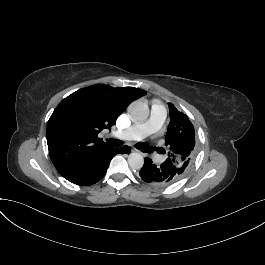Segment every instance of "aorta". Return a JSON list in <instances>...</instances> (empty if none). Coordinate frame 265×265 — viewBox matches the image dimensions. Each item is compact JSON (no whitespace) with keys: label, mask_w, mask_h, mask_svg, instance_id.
<instances>
[{"label":"aorta","mask_w":265,"mask_h":265,"mask_svg":"<svg viewBox=\"0 0 265 265\" xmlns=\"http://www.w3.org/2000/svg\"><path fill=\"white\" fill-rule=\"evenodd\" d=\"M128 112L134 121L142 122L149 116V107L141 101H134L129 105ZM128 163L132 169L139 170L144 165V158L142 154L134 152L129 155Z\"/></svg>","instance_id":"1"}]
</instances>
